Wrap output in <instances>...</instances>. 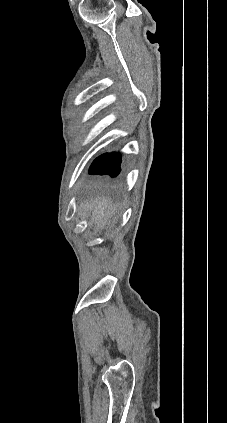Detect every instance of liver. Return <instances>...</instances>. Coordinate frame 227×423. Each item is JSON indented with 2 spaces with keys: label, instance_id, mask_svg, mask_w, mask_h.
Returning a JSON list of instances; mask_svg holds the SVG:
<instances>
[{
  "label": "liver",
  "instance_id": "liver-1",
  "mask_svg": "<svg viewBox=\"0 0 227 423\" xmlns=\"http://www.w3.org/2000/svg\"><path fill=\"white\" fill-rule=\"evenodd\" d=\"M82 208H84L82 204ZM85 210H91V223H96L97 227H104V225H110L108 219L109 215V208H108V200L107 198H102V200H97L94 204H90V206H85Z\"/></svg>",
  "mask_w": 227,
  "mask_h": 423
}]
</instances>
